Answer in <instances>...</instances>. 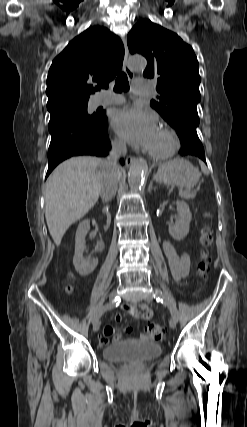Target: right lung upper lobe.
Returning <instances> with one entry per match:
<instances>
[{"label": "right lung upper lobe", "instance_id": "obj_1", "mask_svg": "<svg viewBox=\"0 0 247 427\" xmlns=\"http://www.w3.org/2000/svg\"><path fill=\"white\" fill-rule=\"evenodd\" d=\"M124 46L108 29L90 27L53 60L47 77L50 115L70 106L87 105L95 90L107 88L122 68Z\"/></svg>", "mask_w": 247, "mask_h": 427}]
</instances>
